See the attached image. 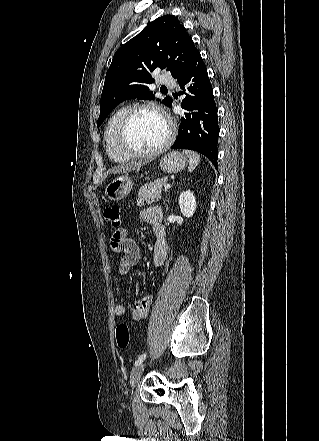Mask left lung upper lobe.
I'll return each mask as SVG.
<instances>
[{"label":"left lung upper lobe","instance_id":"obj_1","mask_svg":"<svg viewBox=\"0 0 319 441\" xmlns=\"http://www.w3.org/2000/svg\"><path fill=\"white\" fill-rule=\"evenodd\" d=\"M199 53L192 38L173 15L159 17L115 53L106 73L97 126L119 103L132 98L154 99L148 84L159 68L177 78ZM162 103L170 107L172 99Z\"/></svg>","mask_w":319,"mask_h":441}]
</instances>
